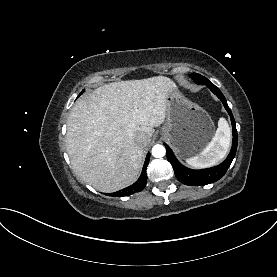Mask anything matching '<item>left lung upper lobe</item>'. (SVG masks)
<instances>
[{
	"instance_id": "left-lung-upper-lobe-1",
	"label": "left lung upper lobe",
	"mask_w": 277,
	"mask_h": 277,
	"mask_svg": "<svg viewBox=\"0 0 277 277\" xmlns=\"http://www.w3.org/2000/svg\"><path fill=\"white\" fill-rule=\"evenodd\" d=\"M190 77L194 80L195 83L199 84V81H205L207 78L203 77L198 73H193Z\"/></svg>"
}]
</instances>
